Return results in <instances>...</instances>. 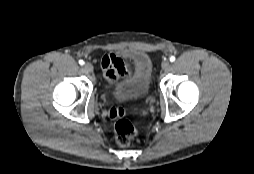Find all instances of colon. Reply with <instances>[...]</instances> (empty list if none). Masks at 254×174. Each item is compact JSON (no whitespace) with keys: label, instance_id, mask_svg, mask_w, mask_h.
<instances>
[{"label":"colon","instance_id":"1","mask_svg":"<svg viewBox=\"0 0 254 174\" xmlns=\"http://www.w3.org/2000/svg\"><path fill=\"white\" fill-rule=\"evenodd\" d=\"M123 114L122 108L114 111V116L119 118L114 125V133L116 143L120 146H127L136 137L137 130L130 121L122 118Z\"/></svg>","mask_w":254,"mask_h":174}]
</instances>
